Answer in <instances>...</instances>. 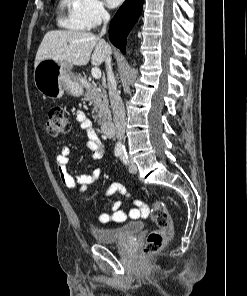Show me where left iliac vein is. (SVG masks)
Returning <instances> with one entry per match:
<instances>
[{"label":"left iliac vein","mask_w":247,"mask_h":296,"mask_svg":"<svg viewBox=\"0 0 247 296\" xmlns=\"http://www.w3.org/2000/svg\"><path fill=\"white\" fill-rule=\"evenodd\" d=\"M128 170L130 173L135 174L137 172V166L131 162L128 166Z\"/></svg>","instance_id":"obj_1"}]
</instances>
